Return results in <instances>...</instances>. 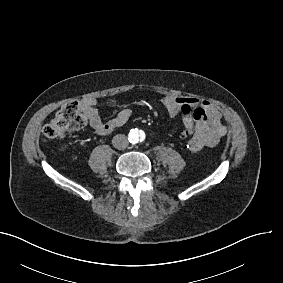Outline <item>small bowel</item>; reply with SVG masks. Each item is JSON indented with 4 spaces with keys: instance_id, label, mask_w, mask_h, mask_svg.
<instances>
[{
    "instance_id": "small-bowel-1",
    "label": "small bowel",
    "mask_w": 283,
    "mask_h": 283,
    "mask_svg": "<svg viewBox=\"0 0 283 283\" xmlns=\"http://www.w3.org/2000/svg\"><path fill=\"white\" fill-rule=\"evenodd\" d=\"M183 102H190L195 106V118L199 128L194 137L187 143V149L192 153H198L205 148L213 147L219 143L228 131L222 122L221 112L209 101L194 96H175L168 94L161 100L162 105L170 114ZM97 99L86 97L80 102V108L88 118L90 126L98 135H106L114 129L126 124L132 115L128 108L121 109L117 114L107 120H102L97 109ZM185 136L187 134H184Z\"/></svg>"
}]
</instances>
